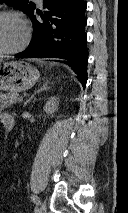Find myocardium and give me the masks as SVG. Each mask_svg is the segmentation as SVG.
<instances>
[{
  "label": "myocardium",
  "instance_id": "f54148a6",
  "mask_svg": "<svg viewBox=\"0 0 128 213\" xmlns=\"http://www.w3.org/2000/svg\"><path fill=\"white\" fill-rule=\"evenodd\" d=\"M1 16H12L18 19L23 25L24 37L22 42L17 47L13 49L0 50V55H13V54L22 52L28 46L31 39V28H30L28 20L25 18V16L21 12L17 10H13V9L0 10V17Z\"/></svg>",
  "mask_w": 128,
  "mask_h": 213
}]
</instances>
